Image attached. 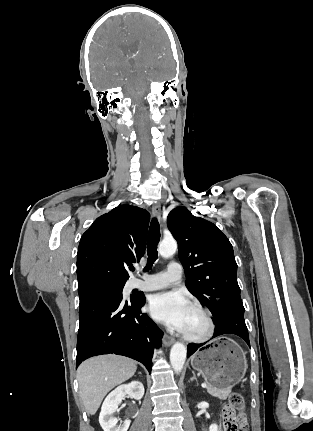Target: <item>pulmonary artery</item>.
Wrapping results in <instances>:
<instances>
[{
	"instance_id": "e3ab8cb5",
	"label": "pulmonary artery",
	"mask_w": 313,
	"mask_h": 431,
	"mask_svg": "<svg viewBox=\"0 0 313 431\" xmlns=\"http://www.w3.org/2000/svg\"><path fill=\"white\" fill-rule=\"evenodd\" d=\"M182 277V267L177 262H171L166 271L146 275L144 280H135L132 287L143 291H152L176 284Z\"/></svg>"
}]
</instances>
